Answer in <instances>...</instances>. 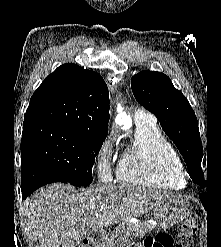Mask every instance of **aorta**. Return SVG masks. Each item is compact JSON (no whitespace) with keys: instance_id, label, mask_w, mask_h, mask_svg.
<instances>
[{"instance_id":"obj_1","label":"aorta","mask_w":221,"mask_h":247,"mask_svg":"<svg viewBox=\"0 0 221 247\" xmlns=\"http://www.w3.org/2000/svg\"><path fill=\"white\" fill-rule=\"evenodd\" d=\"M117 112L118 115L116 117V120L119 122V124H124L125 122L129 121V116L126 115L120 104L117 105Z\"/></svg>"}]
</instances>
